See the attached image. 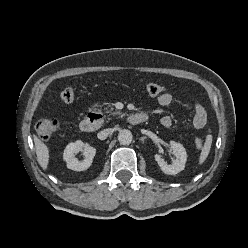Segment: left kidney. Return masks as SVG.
Masks as SVG:
<instances>
[{
    "instance_id": "obj_1",
    "label": "left kidney",
    "mask_w": 248,
    "mask_h": 248,
    "mask_svg": "<svg viewBox=\"0 0 248 248\" xmlns=\"http://www.w3.org/2000/svg\"><path fill=\"white\" fill-rule=\"evenodd\" d=\"M170 146L173 150L174 156L176 157L172 164H167L159 154H155V160L165 174L176 175L184 170L187 161V153L183 145L180 143L171 141Z\"/></svg>"
}]
</instances>
